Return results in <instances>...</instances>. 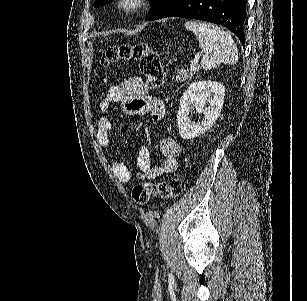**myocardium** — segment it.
<instances>
[{"mask_svg": "<svg viewBox=\"0 0 307 301\" xmlns=\"http://www.w3.org/2000/svg\"><path fill=\"white\" fill-rule=\"evenodd\" d=\"M121 1H124V0H121ZM126 1L127 3L122 4L123 5L122 7L125 9L127 13H135L139 9L142 3V0H126Z\"/></svg>", "mask_w": 307, "mask_h": 301, "instance_id": "1", "label": "myocardium"}]
</instances>
